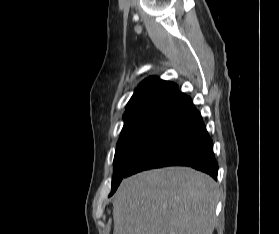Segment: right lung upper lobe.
<instances>
[{"label": "right lung upper lobe", "instance_id": "obj_1", "mask_svg": "<svg viewBox=\"0 0 279 234\" xmlns=\"http://www.w3.org/2000/svg\"><path fill=\"white\" fill-rule=\"evenodd\" d=\"M186 95L180 93L175 83L151 76L142 81L126 106V112L149 108L174 107Z\"/></svg>", "mask_w": 279, "mask_h": 234}]
</instances>
